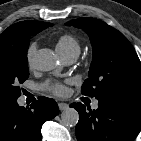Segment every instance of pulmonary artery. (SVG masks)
I'll return each instance as SVG.
<instances>
[{
	"label": "pulmonary artery",
	"instance_id": "pulmonary-artery-1",
	"mask_svg": "<svg viewBox=\"0 0 141 141\" xmlns=\"http://www.w3.org/2000/svg\"><path fill=\"white\" fill-rule=\"evenodd\" d=\"M77 57H78L77 55H69V56H65V57H62V58H63V60H64V62H65L66 64L70 65V64H72V63H74V62L76 61ZM92 107H93L94 109H97V108H98V102L95 101V102L92 104Z\"/></svg>",
	"mask_w": 141,
	"mask_h": 141
}]
</instances>
